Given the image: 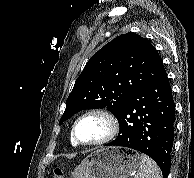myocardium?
<instances>
[{
	"mask_svg": "<svg viewBox=\"0 0 194 178\" xmlns=\"http://www.w3.org/2000/svg\"><path fill=\"white\" fill-rule=\"evenodd\" d=\"M92 115L99 116L105 120L107 124V132L101 139L97 141L83 142L79 140L77 137V134H76L77 125L82 119ZM118 132H119V123L113 113L103 108H92V109L86 110L75 119L71 129V139L79 146H86V147L103 146L110 143L117 136Z\"/></svg>",
	"mask_w": 194,
	"mask_h": 178,
	"instance_id": "myocardium-1",
	"label": "myocardium"
}]
</instances>
